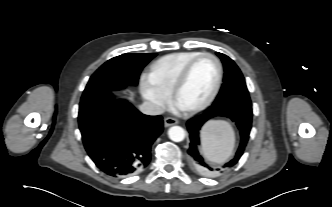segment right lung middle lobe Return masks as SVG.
I'll list each match as a JSON object with an SVG mask.
<instances>
[{"instance_id":"right-lung-middle-lobe-1","label":"right lung middle lobe","mask_w":332,"mask_h":207,"mask_svg":"<svg viewBox=\"0 0 332 207\" xmlns=\"http://www.w3.org/2000/svg\"><path fill=\"white\" fill-rule=\"evenodd\" d=\"M155 56V53H127L108 60L91 76L81 101L105 92L136 86L143 67Z\"/></svg>"}]
</instances>
